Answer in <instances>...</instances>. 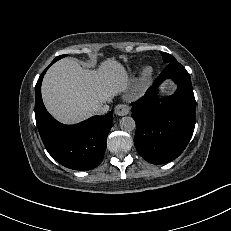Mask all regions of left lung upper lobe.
<instances>
[{"label":"left lung upper lobe","mask_w":231,"mask_h":231,"mask_svg":"<svg viewBox=\"0 0 231 231\" xmlns=\"http://www.w3.org/2000/svg\"><path fill=\"white\" fill-rule=\"evenodd\" d=\"M165 63L169 64L171 62H176L177 60L170 54L166 52H160Z\"/></svg>","instance_id":"left-lung-upper-lobe-1"}]
</instances>
